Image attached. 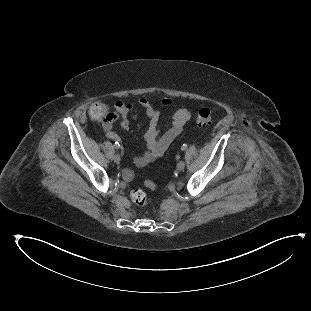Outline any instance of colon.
<instances>
[{
  "label": "colon",
  "mask_w": 311,
  "mask_h": 311,
  "mask_svg": "<svg viewBox=\"0 0 311 311\" xmlns=\"http://www.w3.org/2000/svg\"><path fill=\"white\" fill-rule=\"evenodd\" d=\"M88 112L93 121L102 122L104 124L111 122L113 116L110 108L102 102L92 103ZM213 118L214 114L212 110L209 108H202L197 112L196 123L199 127H207L212 123ZM146 186L151 189L158 188V186L150 181L146 182ZM130 196L136 206L141 208L146 207L148 196L142 189H133Z\"/></svg>",
  "instance_id": "5ec220e1"
}]
</instances>
